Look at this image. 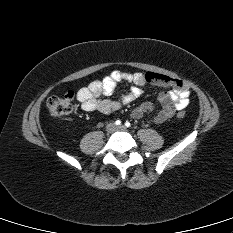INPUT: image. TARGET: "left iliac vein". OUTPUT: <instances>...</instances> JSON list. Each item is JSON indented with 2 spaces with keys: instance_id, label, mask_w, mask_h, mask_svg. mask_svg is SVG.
<instances>
[{
  "instance_id": "obj_1",
  "label": "left iliac vein",
  "mask_w": 233,
  "mask_h": 233,
  "mask_svg": "<svg viewBox=\"0 0 233 233\" xmlns=\"http://www.w3.org/2000/svg\"><path fill=\"white\" fill-rule=\"evenodd\" d=\"M116 129L119 130V131H125L126 127L124 125H120Z\"/></svg>"
}]
</instances>
